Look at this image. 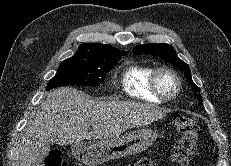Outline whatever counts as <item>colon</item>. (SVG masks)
Wrapping results in <instances>:
<instances>
[{"label":"colon","mask_w":231,"mask_h":166,"mask_svg":"<svg viewBox=\"0 0 231 166\" xmlns=\"http://www.w3.org/2000/svg\"><path fill=\"white\" fill-rule=\"evenodd\" d=\"M174 126L178 139L173 146L171 159L180 166H187L196 152L201 124L194 117L179 115L174 119ZM45 166H67L61 150H51L45 159ZM125 166H155V162L149 157H142Z\"/></svg>","instance_id":"5ec220e1"}]
</instances>
